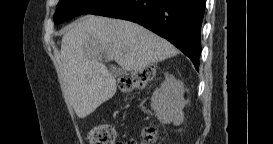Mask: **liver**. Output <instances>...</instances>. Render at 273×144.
<instances>
[{
	"instance_id": "liver-1",
	"label": "liver",
	"mask_w": 273,
	"mask_h": 144,
	"mask_svg": "<svg viewBox=\"0 0 273 144\" xmlns=\"http://www.w3.org/2000/svg\"><path fill=\"white\" fill-rule=\"evenodd\" d=\"M177 53L167 40L136 23L93 15L80 18L63 35L60 53L65 89L76 115L87 117L116 92L104 58L123 70L138 71Z\"/></svg>"
}]
</instances>
